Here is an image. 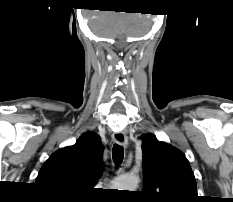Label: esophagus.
<instances>
[{
    "mask_svg": "<svg viewBox=\"0 0 233 202\" xmlns=\"http://www.w3.org/2000/svg\"><path fill=\"white\" fill-rule=\"evenodd\" d=\"M113 140L119 144V145H124L126 146L127 143H128V139H127V136L125 135L124 132L122 131H119V132H115L113 134Z\"/></svg>",
    "mask_w": 233,
    "mask_h": 202,
    "instance_id": "1",
    "label": "esophagus"
}]
</instances>
